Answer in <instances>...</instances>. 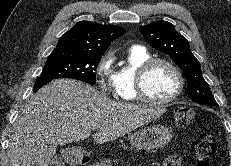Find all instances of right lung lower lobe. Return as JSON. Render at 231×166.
I'll list each match as a JSON object with an SVG mask.
<instances>
[{
	"label": "right lung lower lobe",
	"instance_id": "right-lung-lower-lobe-1",
	"mask_svg": "<svg viewBox=\"0 0 231 166\" xmlns=\"http://www.w3.org/2000/svg\"><path fill=\"white\" fill-rule=\"evenodd\" d=\"M52 80H53V78H47V77L37 78L33 91L37 92L42 86H44L45 84L49 83Z\"/></svg>",
	"mask_w": 231,
	"mask_h": 166
}]
</instances>
